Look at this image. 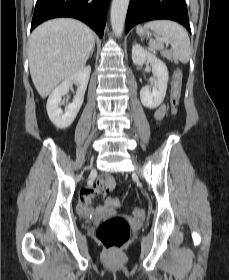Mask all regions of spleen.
<instances>
[{"mask_svg":"<svg viewBox=\"0 0 229 280\" xmlns=\"http://www.w3.org/2000/svg\"><path fill=\"white\" fill-rule=\"evenodd\" d=\"M155 33V39L149 40V45L154 50L164 52V43L171 45L173 56L182 63H187L190 58V40L186 30L176 22L170 20H154L144 25Z\"/></svg>","mask_w":229,"mask_h":280,"instance_id":"3e777b00","label":"spleen"}]
</instances>
